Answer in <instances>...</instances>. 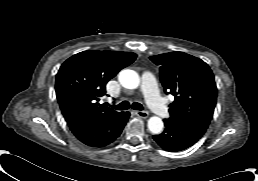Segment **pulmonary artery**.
I'll use <instances>...</instances> for the list:
<instances>
[{
  "label": "pulmonary artery",
  "mask_w": 258,
  "mask_h": 181,
  "mask_svg": "<svg viewBox=\"0 0 258 181\" xmlns=\"http://www.w3.org/2000/svg\"><path fill=\"white\" fill-rule=\"evenodd\" d=\"M142 92L149 107L157 116H167L168 109L158 94L156 81L151 73H144L142 76Z\"/></svg>",
  "instance_id": "1"
}]
</instances>
